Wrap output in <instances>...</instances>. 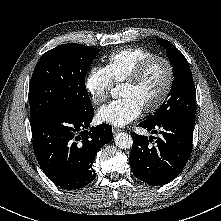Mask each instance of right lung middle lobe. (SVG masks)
Returning <instances> with one entry per match:
<instances>
[{
    "label": "right lung middle lobe",
    "instance_id": "1",
    "mask_svg": "<svg viewBox=\"0 0 221 221\" xmlns=\"http://www.w3.org/2000/svg\"><path fill=\"white\" fill-rule=\"evenodd\" d=\"M99 51L67 43L41 56L29 85L31 123L51 111L82 114L92 109L85 76Z\"/></svg>",
    "mask_w": 221,
    "mask_h": 221
}]
</instances>
